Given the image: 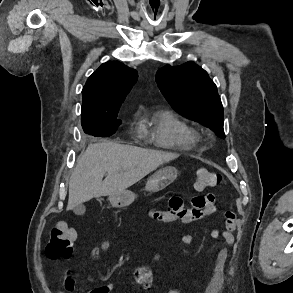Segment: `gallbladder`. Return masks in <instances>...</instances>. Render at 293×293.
<instances>
[{"mask_svg":"<svg viewBox=\"0 0 293 293\" xmlns=\"http://www.w3.org/2000/svg\"><path fill=\"white\" fill-rule=\"evenodd\" d=\"M72 210L77 215H83L85 213L86 209L83 204H79V205L75 206Z\"/></svg>","mask_w":293,"mask_h":293,"instance_id":"1","label":"gallbladder"}]
</instances>
